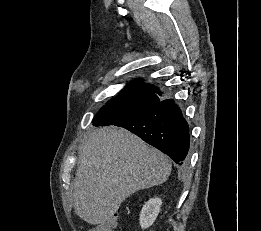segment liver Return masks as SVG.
<instances>
[{"label": "liver", "mask_w": 261, "mask_h": 231, "mask_svg": "<svg viewBox=\"0 0 261 231\" xmlns=\"http://www.w3.org/2000/svg\"><path fill=\"white\" fill-rule=\"evenodd\" d=\"M171 164L162 152L123 128L91 132L78 155L72 182L76 214L91 225L103 224L138 190L164 183Z\"/></svg>", "instance_id": "liver-1"}]
</instances>
